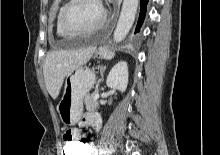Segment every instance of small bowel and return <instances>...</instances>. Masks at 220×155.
<instances>
[{
    "mask_svg": "<svg viewBox=\"0 0 220 155\" xmlns=\"http://www.w3.org/2000/svg\"><path fill=\"white\" fill-rule=\"evenodd\" d=\"M81 127H91L94 131L98 132L101 126V119L96 113H87L80 121ZM63 141H75V139H81L80 129L78 126H64L62 130ZM95 148L89 144L87 147L86 155H94Z\"/></svg>",
    "mask_w": 220,
    "mask_h": 155,
    "instance_id": "small-bowel-1",
    "label": "small bowel"
}]
</instances>
